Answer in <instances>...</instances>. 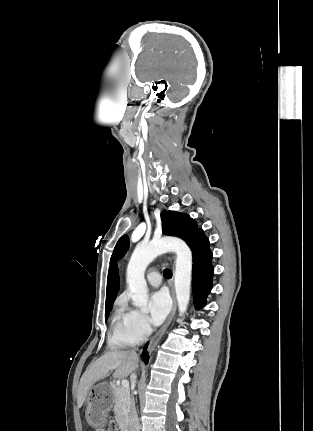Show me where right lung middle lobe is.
<instances>
[{"label":"right lung middle lobe","instance_id":"right-lung-middle-lobe-1","mask_svg":"<svg viewBox=\"0 0 313 431\" xmlns=\"http://www.w3.org/2000/svg\"><path fill=\"white\" fill-rule=\"evenodd\" d=\"M112 306L106 308L105 318L107 320L109 312L111 311Z\"/></svg>","mask_w":313,"mask_h":431}]
</instances>
